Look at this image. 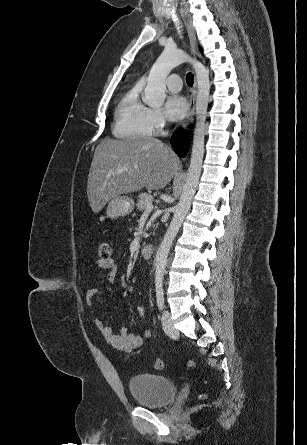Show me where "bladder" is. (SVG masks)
<instances>
[{"label":"bladder","mask_w":307,"mask_h":445,"mask_svg":"<svg viewBox=\"0 0 307 445\" xmlns=\"http://www.w3.org/2000/svg\"><path fill=\"white\" fill-rule=\"evenodd\" d=\"M128 387L137 405L151 409L167 406L173 401L178 391L174 381L151 373L133 376L129 380Z\"/></svg>","instance_id":"bladder-1"}]
</instances>
